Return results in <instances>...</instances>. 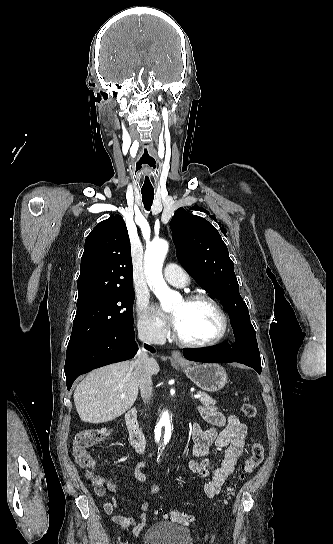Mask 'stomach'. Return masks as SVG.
Segmentation results:
<instances>
[{
    "label": "stomach",
    "mask_w": 333,
    "mask_h": 544,
    "mask_svg": "<svg viewBox=\"0 0 333 544\" xmlns=\"http://www.w3.org/2000/svg\"><path fill=\"white\" fill-rule=\"evenodd\" d=\"M177 366L184 371L192 382L204 391L217 392L227 383V373L217 363L177 364Z\"/></svg>",
    "instance_id": "1"
}]
</instances>
